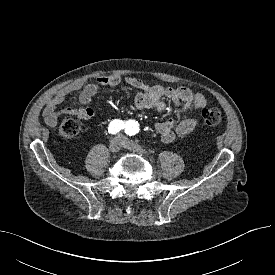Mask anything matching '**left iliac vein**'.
I'll return each mask as SVG.
<instances>
[{
	"instance_id": "4c4485c4",
	"label": "left iliac vein",
	"mask_w": 275,
	"mask_h": 275,
	"mask_svg": "<svg viewBox=\"0 0 275 275\" xmlns=\"http://www.w3.org/2000/svg\"><path fill=\"white\" fill-rule=\"evenodd\" d=\"M121 141H122V147L123 148H126V149H130V150H133L141 155H146L147 154V151L145 149H143L141 146H139L138 144L132 142V141H129L125 138H121Z\"/></svg>"
}]
</instances>
